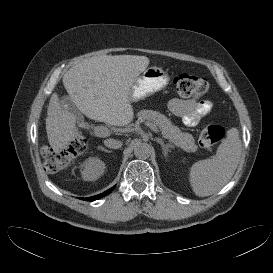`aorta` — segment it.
<instances>
[{
  "instance_id": "762f6f07",
  "label": "aorta",
  "mask_w": 273,
  "mask_h": 273,
  "mask_svg": "<svg viewBox=\"0 0 273 273\" xmlns=\"http://www.w3.org/2000/svg\"><path fill=\"white\" fill-rule=\"evenodd\" d=\"M151 154V146L144 142H138L134 146V155L139 159H147Z\"/></svg>"
}]
</instances>
